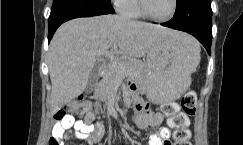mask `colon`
Wrapping results in <instances>:
<instances>
[{
	"label": "colon",
	"mask_w": 243,
	"mask_h": 145,
	"mask_svg": "<svg viewBox=\"0 0 243 145\" xmlns=\"http://www.w3.org/2000/svg\"><path fill=\"white\" fill-rule=\"evenodd\" d=\"M181 109V111H180ZM196 111V95L194 92H188L181 100L180 107L174 102L165 103L162 106L163 114L168 117V125L173 129V142L168 145H191V132L188 128L189 117L193 116ZM71 114L84 116L86 107L82 99H76L65 105L57 111L55 119L61 121ZM49 145H61L60 139L51 136Z\"/></svg>",
	"instance_id": "colon-1"
}]
</instances>
